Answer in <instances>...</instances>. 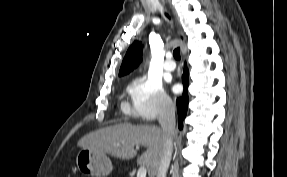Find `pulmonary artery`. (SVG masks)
<instances>
[{"label": "pulmonary artery", "instance_id": "pulmonary-artery-1", "mask_svg": "<svg viewBox=\"0 0 287 177\" xmlns=\"http://www.w3.org/2000/svg\"><path fill=\"white\" fill-rule=\"evenodd\" d=\"M172 56L173 55H172L171 52H166V54H165L166 59H165V62H164V69L166 71H169V72H172L175 69V63L172 60Z\"/></svg>", "mask_w": 287, "mask_h": 177}]
</instances>
